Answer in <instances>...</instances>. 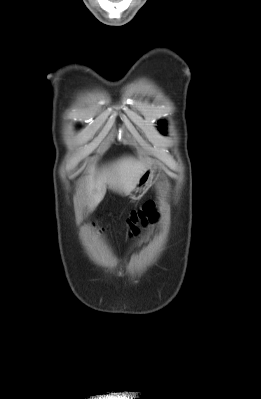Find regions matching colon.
Segmentation results:
<instances>
[{
    "label": "colon",
    "mask_w": 261,
    "mask_h": 399,
    "mask_svg": "<svg viewBox=\"0 0 261 399\" xmlns=\"http://www.w3.org/2000/svg\"><path fill=\"white\" fill-rule=\"evenodd\" d=\"M155 207V201L149 200L139 208L134 209L126 219L128 229L135 234L138 232L140 225L145 226L148 223H154L157 219ZM98 230L101 231L100 228Z\"/></svg>",
    "instance_id": "1"
}]
</instances>
